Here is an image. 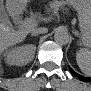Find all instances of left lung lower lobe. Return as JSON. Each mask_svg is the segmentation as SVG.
<instances>
[{
    "mask_svg": "<svg viewBox=\"0 0 91 91\" xmlns=\"http://www.w3.org/2000/svg\"><path fill=\"white\" fill-rule=\"evenodd\" d=\"M70 71H71V73H72L73 75H75V76H77L78 78L82 79V76L76 74L71 68H70Z\"/></svg>",
    "mask_w": 91,
    "mask_h": 91,
    "instance_id": "left-lung-lower-lobe-1",
    "label": "left lung lower lobe"
}]
</instances>
